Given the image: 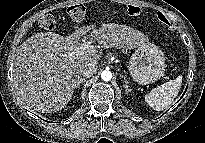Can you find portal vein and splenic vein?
Segmentation results:
<instances>
[{
	"mask_svg": "<svg viewBox=\"0 0 205 143\" xmlns=\"http://www.w3.org/2000/svg\"><path fill=\"white\" fill-rule=\"evenodd\" d=\"M82 50H91V51H93V50H95V46L92 45L90 42H84L81 45L80 49L77 50L76 54L81 53ZM72 55L73 54H70V56H72Z\"/></svg>",
	"mask_w": 205,
	"mask_h": 143,
	"instance_id": "18ae733b",
	"label": "portal vein and splenic vein"
}]
</instances>
